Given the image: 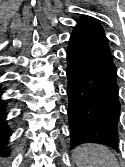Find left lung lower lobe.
<instances>
[{
	"label": "left lung lower lobe",
	"mask_w": 125,
	"mask_h": 167,
	"mask_svg": "<svg viewBox=\"0 0 125 167\" xmlns=\"http://www.w3.org/2000/svg\"><path fill=\"white\" fill-rule=\"evenodd\" d=\"M116 72L103 27L92 17H82L67 50L71 148L83 143L117 147L120 102Z\"/></svg>",
	"instance_id": "obj_1"
}]
</instances>
